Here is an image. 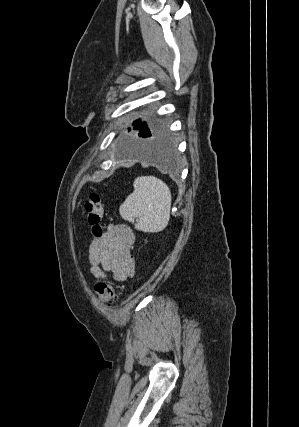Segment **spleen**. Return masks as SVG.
Segmentation results:
<instances>
[{"mask_svg":"<svg viewBox=\"0 0 299 427\" xmlns=\"http://www.w3.org/2000/svg\"><path fill=\"white\" fill-rule=\"evenodd\" d=\"M133 186L134 191L119 208L121 217L133 223L137 230L162 231L170 219L172 198L169 187L154 176L137 177Z\"/></svg>","mask_w":299,"mask_h":427,"instance_id":"obj_1","label":"spleen"}]
</instances>
